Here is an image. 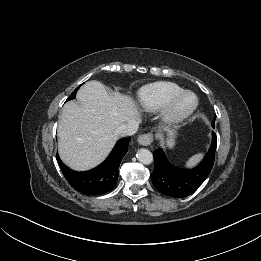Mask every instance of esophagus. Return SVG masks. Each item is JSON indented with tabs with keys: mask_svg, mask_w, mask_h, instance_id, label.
Masks as SVG:
<instances>
[{
	"mask_svg": "<svg viewBox=\"0 0 261 261\" xmlns=\"http://www.w3.org/2000/svg\"><path fill=\"white\" fill-rule=\"evenodd\" d=\"M153 141V135L151 133L143 134L138 137V143L142 146H148Z\"/></svg>",
	"mask_w": 261,
	"mask_h": 261,
	"instance_id": "obj_1",
	"label": "esophagus"
}]
</instances>
